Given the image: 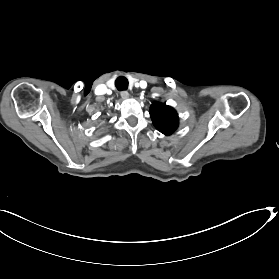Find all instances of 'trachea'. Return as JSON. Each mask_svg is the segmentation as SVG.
<instances>
[{
	"label": "trachea",
	"instance_id": "obj_1",
	"mask_svg": "<svg viewBox=\"0 0 279 279\" xmlns=\"http://www.w3.org/2000/svg\"><path fill=\"white\" fill-rule=\"evenodd\" d=\"M115 86L119 91H126L128 88V80L124 76H119L115 81Z\"/></svg>",
	"mask_w": 279,
	"mask_h": 279
}]
</instances>
